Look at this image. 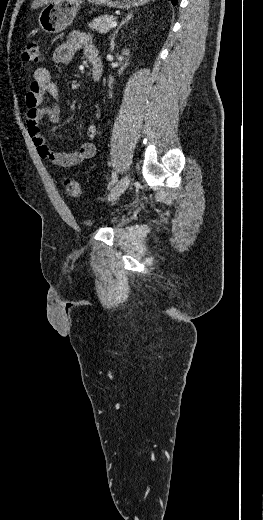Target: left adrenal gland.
Returning a JSON list of instances; mask_svg holds the SVG:
<instances>
[{
	"label": "left adrenal gland",
	"instance_id": "1",
	"mask_svg": "<svg viewBox=\"0 0 263 520\" xmlns=\"http://www.w3.org/2000/svg\"><path fill=\"white\" fill-rule=\"evenodd\" d=\"M133 18V12H130L126 15V17L123 19V21L119 24V26L117 27V29L114 31V33L112 34L111 36V42H110V46H111V50H114V47H115V37L116 35L118 34L119 30L123 27V25L125 23H127L130 19Z\"/></svg>",
	"mask_w": 263,
	"mask_h": 520
}]
</instances>
